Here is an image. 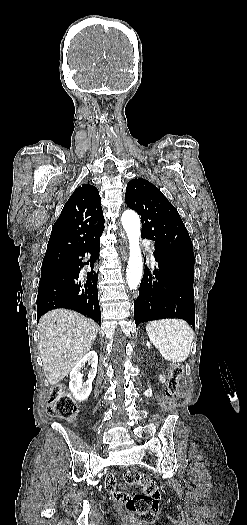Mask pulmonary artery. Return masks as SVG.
I'll return each instance as SVG.
<instances>
[{
  "mask_svg": "<svg viewBox=\"0 0 247 525\" xmlns=\"http://www.w3.org/2000/svg\"><path fill=\"white\" fill-rule=\"evenodd\" d=\"M148 243V245L144 246V250L146 253H149L148 257L150 258V264L152 266H157L159 264V259L155 257L153 244H151V242Z\"/></svg>",
  "mask_w": 247,
  "mask_h": 525,
  "instance_id": "e3ab8cb5",
  "label": "pulmonary artery"
}]
</instances>
